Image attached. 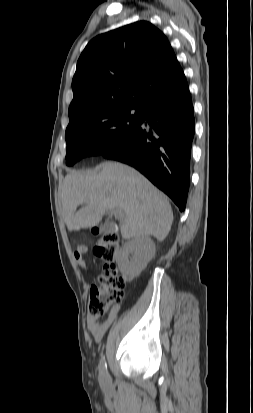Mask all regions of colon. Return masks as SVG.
Wrapping results in <instances>:
<instances>
[{
	"label": "colon",
	"mask_w": 253,
	"mask_h": 413,
	"mask_svg": "<svg viewBox=\"0 0 253 413\" xmlns=\"http://www.w3.org/2000/svg\"><path fill=\"white\" fill-rule=\"evenodd\" d=\"M95 233H99L95 230ZM119 250V240L115 233H102L93 252L102 262V274L98 283L90 288L89 315L101 317L110 307L122 302L124 298V281L118 275L115 257Z\"/></svg>",
	"instance_id": "5ec220e1"
}]
</instances>
